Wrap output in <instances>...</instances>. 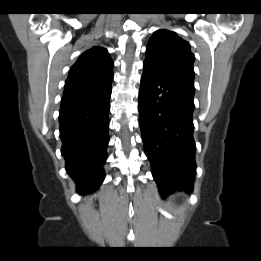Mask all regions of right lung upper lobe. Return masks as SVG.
Wrapping results in <instances>:
<instances>
[{
  "label": "right lung upper lobe",
  "mask_w": 261,
  "mask_h": 261,
  "mask_svg": "<svg viewBox=\"0 0 261 261\" xmlns=\"http://www.w3.org/2000/svg\"><path fill=\"white\" fill-rule=\"evenodd\" d=\"M113 61L103 47L84 52L71 67L65 83L64 95L98 89L111 84Z\"/></svg>",
  "instance_id": "right-lung-upper-lobe-1"
}]
</instances>
